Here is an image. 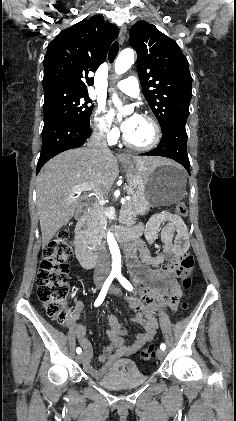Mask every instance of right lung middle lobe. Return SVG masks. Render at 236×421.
<instances>
[{"instance_id":"right-lung-middle-lobe-1","label":"right lung middle lobe","mask_w":236,"mask_h":421,"mask_svg":"<svg viewBox=\"0 0 236 421\" xmlns=\"http://www.w3.org/2000/svg\"><path fill=\"white\" fill-rule=\"evenodd\" d=\"M88 92L58 88L44 89V127L57 121L89 128L93 105Z\"/></svg>"}]
</instances>
